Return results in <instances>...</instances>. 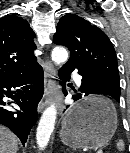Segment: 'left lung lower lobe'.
<instances>
[{"mask_svg": "<svg viewBox=\"0 0 130 153\" xmlns=\"http://www.w3.org/2000/svg\"><path fill=\"white\" fill-rule=\"evenodd\" d=\"M78 70V73L83 77L82 84L80 87V92H77L75 95H73L74 101L79 100L82 98V96H87L90 94H99V95H107L119 102V98L115 95H113L108 89L102 84V82L98 79L97 76H95L90 70L84 69L82 67H75L73 65H64L59 70V77L62 80L60 83L63 85V88L65 87V82L68 81L70 78L69 74L74 71ZM64 94L66 95V90L63 89Z\"/></svg>", "mask_w": 130, "mask_h": 153, "instance_id": "0a47b994", "label": "left lung lower lobe"}]
</instances>
